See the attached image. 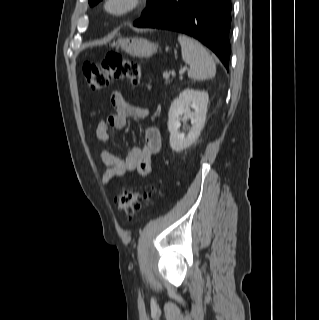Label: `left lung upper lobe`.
Returning <instances> with one entry per match:
<instances>
[{"instance_id": "1", "label": "left lung upper lobe", "mask_w": 319, "mask_h": 320, "mask_svg": "<svg viewBox=\"0 0 319 320\" xmlns=\"http://www.w3.org/2000/svg\"><path fill=\"white\" fill-rule=\"evenodd\" d=\"M101 0H89V4L91 6L97 4ZM162 0H148L147 1V8L143 11L142 17L147 15L152 9H154Z\"/></svg>"}]
</instances>
